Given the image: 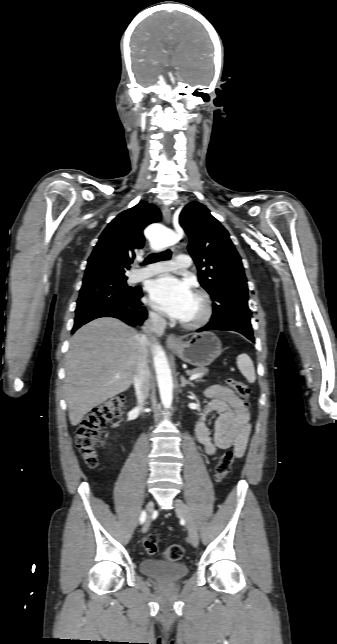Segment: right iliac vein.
<instances>
[{"instance_id":"obj_1","label":"right iliac vein","mask_w":337,"mask_h":644,"mask_svg":"<svg viewBox=\"0 0 337 644\" xmlns=\"http://www.w3.org/2000/svg\"><path fill=\"white\" fill-rule=\"evenodd\" d=\"M146 508H147L148 513H151V512H152V510H153V502H152V501H149V502L147 503ZM149 524H150V517H148V518H147V520H146V522H145V525H144V527H143V529H142V531H143V532H146V531L148 530V528H149Z\"/></svg>"}]
</instances>
